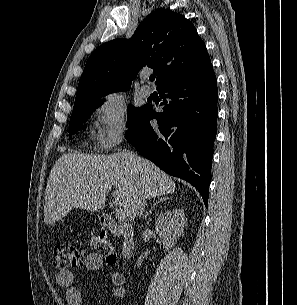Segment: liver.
<instances>
[{
	"label": "liver",
	"mask_w": 297,
	"mask_h": 305,
	"mask_svg": "<svg viewBox=\"0 0 297 305\" xmlns=\"http://www.w3.org/2000/svg\"><path fill=\"white\" fill-rule=\"evenodd\" d=\"M140 170L128 164L125 152L91 155L70 152L62 154L54 164L45 192L44 222L52 225L72 208L99 211L106 196L124 209L134 220L138 188L143 186L148 198L170 194L176 185L172 178L152 162L138 157Z\"/></svg>",
	"instance_id": "liver-1"
}]
</instances>
